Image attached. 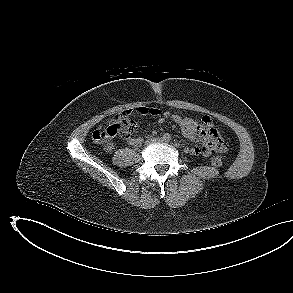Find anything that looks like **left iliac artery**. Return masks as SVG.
Wrapping results in <instances>:
<instances>
[{
	"mask_svg": "<svg viewBox=\"0 0 293 293\" xmlns=\"http://www.w3.org/2000/svg\"><path fill=\"white\" fill-rule=\"evenodd\" d=\"M175 146H176V147H179V143H175Z\"/></svg>",
	"mask_w": 293,
	"mask_h": 293,
	"instance_id": "left-iliac-artery-1",
	"label": "left iliac artery"
}]
</instances>
